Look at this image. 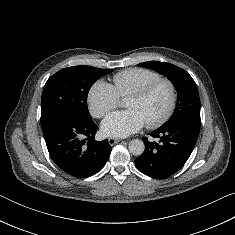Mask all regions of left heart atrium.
Wrapping results in <instances>:
<instances>
[{"label": "left heart atrium", "instance_id": "left-heart-atrium-1", "mask_svg": "<svg viewBox=\"0 0 235 235\" xmlns=\"http://www.w3.org/2000/svg\"><path fill=\"white\" fill-rule=\"evenodd\" d=\"M145 124L137 110L128 109L108 115L102 123V131L108 136L126 137L139 131Z\"/></svg>", "mask_w": 235, "mask_h": 235}]
</instances>
